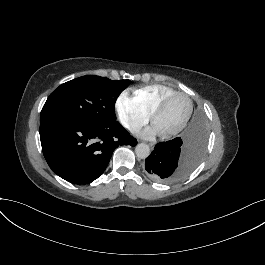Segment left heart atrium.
<instances>
[{
	"mask_svg": "<svg viewBox=\"0 0 265 265\" xmlns=\"http://www.w3.org/2000/svg\"><path fill=\"white\" fill-rule=\"evenodd\" d=\"M156 132H158V130L155 127V128H152V129L147 130L144 134L147 135V136H149V135L155 134Z\"/></svg>",
	"mask_w": 265,
	"mask_h": 265,
	"instance_id": "1",
	"label": "left heart atrium"
}]
</instances>
